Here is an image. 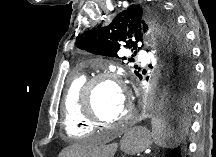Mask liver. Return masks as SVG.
Returning a JSON list of instances; mask_svg holds the SVG:
<instances>
[{
  "instance_id": "liver-1",
  "label": "liver",
  "mask_w": 216,
  "mask_h": 157,
  "mask_svg": "<svg viewBox=\"0 0 216 157\" xmlns=\"http://www.w3.org/2000/svg\"><path fill=\"white\" fill-rule=\"evenodd\" d=\"M109 148L107 146H95L88 142L73 144L63 150L59 157H105L108 155Z\"/></svg>"
}]
</instances>
